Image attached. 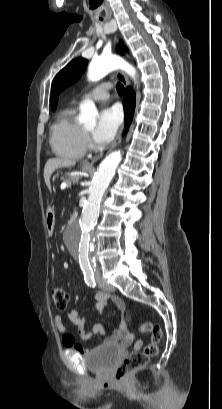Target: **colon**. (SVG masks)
Instances as JSON below:
<instances>
[{"mask_svg": "<svg viewBox=\"0 0 222 409\" xmlns=\"http://www.w3.org/2000/svg\"><path fill=\"white\" fill-rule=\"evenodd\" d=\"M51 293L55 306L59 310H65L69 302L68 292L60 286H53ZM139 330L143 333L151 332V341L146 344L141 351L131 353L119 364L115 373V380L119 383L126 382L132 372L145 366L149 359L158 353V344L163 336L161 326L158 324L143 323L139 326ZM66 340L67 335L63 338V341Z\"/></svg>", "mask_w": 222, "mask_h": 409, "instance_id": "colon-1", "label": "colon"}]
</instances>
